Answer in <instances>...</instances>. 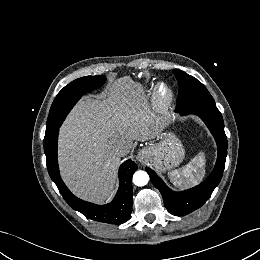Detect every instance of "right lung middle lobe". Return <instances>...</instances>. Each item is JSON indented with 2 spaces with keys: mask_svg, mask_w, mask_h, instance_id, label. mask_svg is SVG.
<instances>
[{
  "mask_svg": "<svg viewBox=\"0 0 260 260\" xmlns=\"http://www.w3.org/2000/svg\"><path fill=\"white\" fill-rule=\"evenodd\" d=\"M105 80L102 75L87 76L74 80L65 86L51 106L46 125V135H52L61 126L68 112L83 94L100 88Z\"/></svg>",
  "mask_w": 260,
  "mask_h": 260,
  "instance_id": "obj_1",
  "label": "right lung middle lobe"
}]
</instances>
